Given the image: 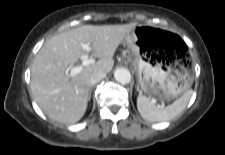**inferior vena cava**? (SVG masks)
Masks as SVG:
<instances>
[{
    "label": "inferior vena cava",
    "instance_id": "602c4592",
    "mask_svg": "<svg viewBox=\"0 0 225 155\" xmlns=\"http://www.w3.org/2000/svg\"><path fill=\"white\" fill-rule=\"evenodd\" d=\"M106 76V73L104 71H97L95 73L92 74L91 76V84H96L98 83L99 81H101L103 78H105Z\"/></svg>",
    "mask_w": 225,
    "mask_h": 155
}]
</instances>
